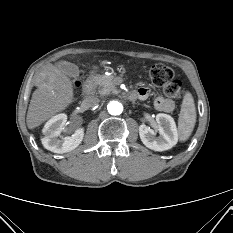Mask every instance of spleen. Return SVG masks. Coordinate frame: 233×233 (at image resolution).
Returning a JSON list of instances; mask_svg holds the SVG:
<instances>
[{
    "instance_id": "obj_1",
    "label": "spleen",
    "mask_w": 233,
    "mask_h": 233,
    "mask_svg": "<svg viewBox=\"0 0 233 233\" xmlns=\"http://www.w3.org/2000/svg\"><path fill=\"white\" fill-rule=\"evenodd\" d=\"M196 123V108L191 93L186 92L178 120L179 137L182 142L186 141L194 129Z\"/></svg>"
}]
</instances>
